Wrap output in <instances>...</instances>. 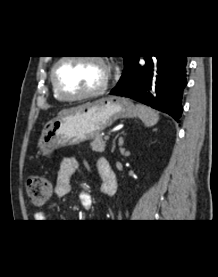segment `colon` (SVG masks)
I'll return each instance as SVG.
<instances>
[{
    "label": "colon",
    "instance_id": "obj_1",
    "mask_svg": "<svg viewBox=\"0 0 218 277\" xmlns=\"http://www.w3.org/2000/svg\"><path fill=\"white\" fill-rule=\"evenodd\" d=\"M26 190L31 204L44 205L53 194L51 181L43 176H30L26 183Z\"/></svg>",
    "mask_w": 218,
    "mask_h": 277
}]
</instances>
